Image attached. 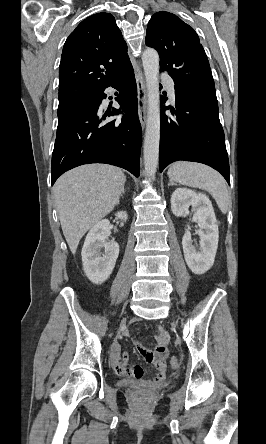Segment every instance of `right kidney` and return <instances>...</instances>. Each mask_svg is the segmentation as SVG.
Listing matches in <instances>:
<instances>
[{
    "label": "right kidney",
    "instance_id": "right-kidney-1",
    "mask_svg": "<svg viewBox=\"0 0 266 444\" xmlns=\"http://www.w3.org/2000/svg\"><path fill=\"white\" fill-rule=\"evenodd\" d=\"M116 217L126 221L128 215L120 211ZM109 235V220H101L90 229L82 248L83 269L94 284H101L109 278L119 255V245L114 241L106 242ZM101 248H104L103 253Z\"/></svg>",
    "mask_w": 266,
    "mask_h": 444
}]
</instances>
